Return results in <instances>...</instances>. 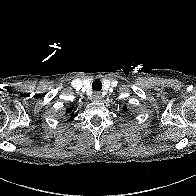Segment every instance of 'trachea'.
Wrapping results in <instances>:
<instances>
[{
	"label": "trachea",
	"mask_w": 196,
	"mask_h": 196,
	"mask_svg": "<svg viewBox=\"0 0 196 196\" xmlns=\"http://www.w3.org/2000/svg\"><path fill=\"white\" fill-rule=\"evenodd\" d=\"M102 88V83L100 80L96 79L93 83H92V89L96 90V91H100Z\"/></svg>",
	"instance_id": "trachea-1"
}]
</instances>
